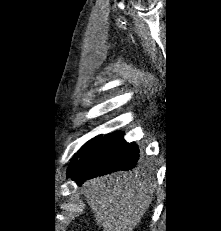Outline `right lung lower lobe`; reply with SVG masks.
<instances>
[{
    "mask_svg": "<svg viewBox=\"0 0 221 231\" xmlns=\"http://www.w3.org/2000/svg\"><path fill=\"white\" fill-rule=\"evenodd\" d=\"M138 159V146L127 143L123 132H114L101 136L75 164L69 166L67 175L81 185L86 179L132 169Z\"/></svg>",
    "mask_w": 221,
    "mask_h": 231,
    "instance_id": "1",
    "label": "right lung lower lobe"
}]
</instances>
